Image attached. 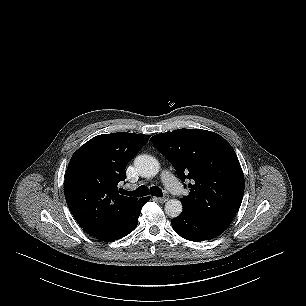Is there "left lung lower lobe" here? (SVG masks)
I'll list each match as a JSON object with an SVG mask.
<instances>
[{
	"mask_svg": "<svg viewBox=\"0 0 306 306\" xmlns=\"http://www.w3.org/2000/svg\"><path fill=\"white\" fill-rule=\"evenodd\" d=\"M233 219L211 213L197 212L183 207L182 214L171 220L173 229L181 237L200 242L222 234Z\"/></svg>",
	"mask_w": 306,
	"mask_h": 306,
	"instance_id": "0a47b994",
	"label": "left lung lower lobe"
}]
</instances>
